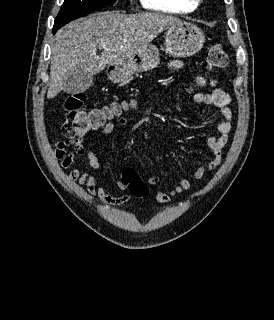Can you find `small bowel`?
Segmentation results:
<instances>
[{"label":"small bowel","mask_w":274,"mask_h":320,"mask_svg":"<svg viewBox=\"0 0 274 320\" xmlns=\"http://www.w3.org/2000/svg\"><path fill=\"white\" fill-rule=\"evenodd\" d=\"M181 61L174 60L170 63L172 70H178L181 67ZM195 81L200 87H211L209 92H199L193 96V101L196 104H209L215 105L220 108L222 119H218L215 122L217 131L220 136H208L207 145L211 151L212 157L207 164H200L195 170L192 181L187 178H180L177 184L169 190H160L156 199L160 203H169L175 197L181 195L184 191L189 190L192 187V183L198 182L204 178V176L215 169H217L223 159V150L227 145L229 134L232 129V112L229 108L231 102L230 96L223 91L215 80L207 81L202 76H197ZM113 110L117 112V107H113ZM96 129H99V135H109L114 132L116 127H125L128 121L125 117L117 114L115 121H108V119H99L96 121ZM72 146V151H67L66 148ZM87 156L89 167L92 170H99L101 168V162L96 154L85 145V138L79 137L71 141H60L56 144L53 156L56 160L60 161V165L63 169H68L72 166L75 157ZM143 157L152 165H154L153 159L146 153H143ZM69 179L73 182H77L80 186L85 187L88 195L91 198H98L104 204L109 206H119L129 201L130 197L127 195L115 196L106 191V189L99 185L96 177L91 172H83L79 168H74L69 173ZM147 182L149 185L161 189V180L157 175L148 177ZM119 190H125L127 187L120 181L116 184Z\"/></svg>","instance_id":"small-bowel-1"}]
</instances>
